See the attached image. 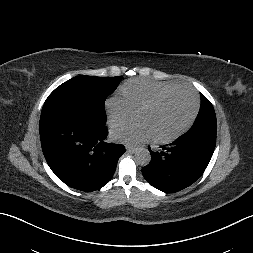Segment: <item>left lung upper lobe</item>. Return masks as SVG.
<instances>
[{
  "mask_svg": "<svg viewBox=\"0 0 253 253\" xmlns=\"http://www.w3.org/2000/svg\"><path fill=\"white\" fill-rule=\"evenodd\" d=\"M201 107L191 129L181 137H198L216 144V115L210 101L201 94Z\"/></svg>",
  "mask_w": 253,
  "mask_h": 253,
  "instance_id": "5c2ea615",
  "label": "left lung upper lobe"
}]
</instances>
